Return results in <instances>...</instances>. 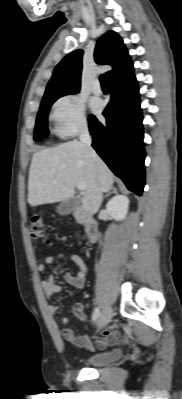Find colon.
I'll use <instances>...</instances> for the list:
<instances>
[{
  "label": "colon",
  "mask_w": 182,
  "mask_h": 399,
  "mask_svg": "<svg viewBox=\"0 0 182 399\" xmlns=\"http://www.w3.org/2000/svg\"><path fill=\"white\" fill-rule=\"evenodd\" d=\"M29 230L33 238L47 241L45 223L40 216L36 215L31 219Z\"/></svg>",
  "instance_id": "obj_1"
}]
</instances>
